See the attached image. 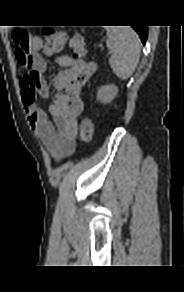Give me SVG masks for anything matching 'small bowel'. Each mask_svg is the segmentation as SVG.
Returning a JSON list of instances; mask_svg holds the SVG:
<instances>
[{
    "label": "small bowel",
    "mask_w": 184,
    "mask_h": 292,
    "mask_svg": "<svg viewBox=\"0 0 184 292\" xmlns=\"http://www.w3.org/2000/svg\"><path fill=\"white\" fill-rule=\"evenodd\" d=\"M42 41L30 37L25 55L16 50V59L22 76L21 97L28 121L39 139L56 160L71 156L76 147L78 117L83 111L82 88L96 69L94 62H86L69 55H59L54 63L62 67L52 80L57 93L47 112L38 107L35 97H50V91L43 77L46 62L40 54Z\"/></svg>",
    "instance_id": "c3829d8e"
}]
</instances>
